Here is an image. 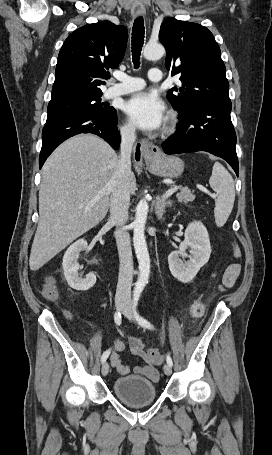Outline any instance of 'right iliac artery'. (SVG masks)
Returning <instances> with one entry per match:
<instances>
[{"label": "right iliac artery", "mask_w": 272, "mask_h": 455, "mask_svg": "<svg viewBox=\"0 0 272 455\" xmlns=\"http://www.w3.org/2000/svg\"><path fill=\"white\" fill-rule=\"evenodd\" d=\"M121 320H122V318H121V313H120V312H116L115 315H114V321H115V323H116L117 325H120V324H121ZM110 351H111V350L108 349V350H106V351L102 354V357H101V362H102V363H104V362L107 360V358H108V356H109V354H110Z\"/></svg>", "instance_id": "obj_1"}]
</instances>
